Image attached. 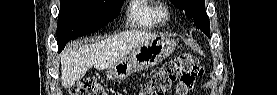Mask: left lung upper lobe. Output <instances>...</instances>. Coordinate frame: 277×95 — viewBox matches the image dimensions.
<instances>
[{"mask_svg":"<svg viewBox=\"0 0 277 95\" xmlns=\"http://www.w3.org/2000/svg\"><path fill=\"white\" fill-rule=\"evenodd\" d=\"M171 2L184 11L187 18L192 19L197 28L210 36V23L204 0H171Z\"/></svg>","mask_w":277,"mask_h":95,"instance_id":"1","label":"left lung upper lobe"}]
</instances>
